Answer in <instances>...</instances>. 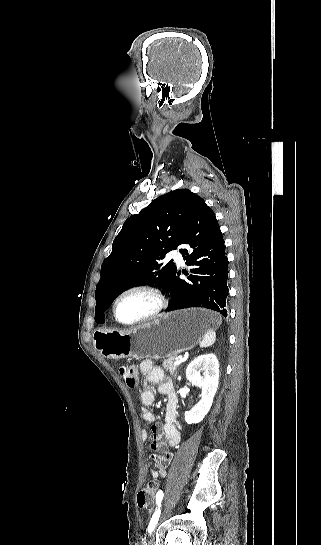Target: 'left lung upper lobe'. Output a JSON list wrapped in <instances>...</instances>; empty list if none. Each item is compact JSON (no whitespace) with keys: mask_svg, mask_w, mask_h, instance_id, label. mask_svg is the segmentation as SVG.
Wrapping results in <instances>:
<instances>
[{"mask_svg":"<svg viewBox=\"0 0 321 545\" xmlns=\"http://www.w3.org/2000/svg\"><path fill=\"white\" fill-rule=\"evenodd\" d=\"M200 203L204 200L189 189H177L124 222L101 266L95 291L97 323H104L103 312L125 290L141 285L165 287L170 282L176 266L159 260L179 245Z\"/></svg>","mask_w":321,"mask_h":545,"instance_id":"obj_1","label":"left lung upper lobe"}]
</instances>
